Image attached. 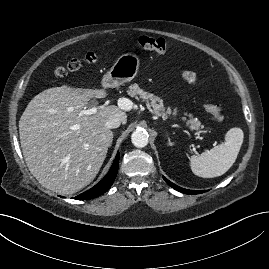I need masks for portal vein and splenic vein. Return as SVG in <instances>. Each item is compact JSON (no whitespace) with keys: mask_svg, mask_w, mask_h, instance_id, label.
Segmentation results:
<instances>
[{"mask_svg":"<svg viewBox=\"0 0 269 269\" xmlns=\"http://www.w3.org/2000/svg\"><path fill=\"white\" fill-rule=\"evenodd\" d=\"M98 111V106H94L90 109H87V110H82L79 115H93L95 113H97Z\"/></svg>","mask_w":269,"mask_h":269,"instance_id":"portal-vein-and-splenic-vein-1","label":"portal vein and splenic vein"}]
</instances>
